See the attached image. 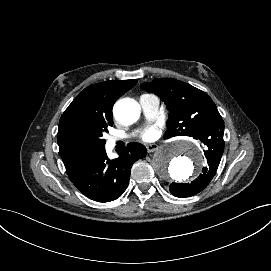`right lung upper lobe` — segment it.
<instances>
[{
    "instance_id": "cb5924a9",
    "label": "right lung upper lobe",
    "mask_w": 271,
    "mask_h": 271,
    "mask_svg": "<svg viewBox=\"0 0 271 271\" xmlns=\"http://www.w3.org/2000/svg\"><path fill=\"white\" fill-rule=\"evenodd\" d=\"M136 83L137 80H123L90 85L73 100L62 116L82 110L103 117L106 120L113 119L112 107L114 102ZM69 158L71 157H62L63 161Z\"/></svg>"
}]
</instances>
